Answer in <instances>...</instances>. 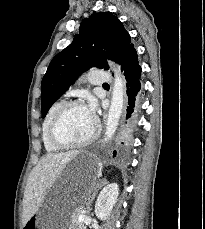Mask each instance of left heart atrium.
<instances>
[{
    "label": "left heart atrium",
    "mask_w": 205,
    "mask_h": 229,
    "mask_svg": "<svg viewBox=\"0 0 205 229\" xmlns=\"http://www.w3.org/2000/svg\"><path fill=\"white\" fill-rule=\"evenodd\" d=\"M86 109L95 118L96 103H95V100L93 98H90L88 100V105H87Z\"/></svg>",
    "instance_id": "obj_1"
}]
</instances>
